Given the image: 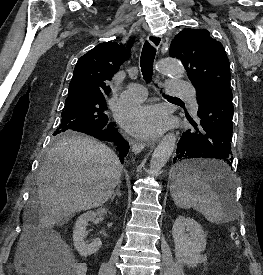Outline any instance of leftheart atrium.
<instances>
[{
    "mask_svg": "<svg viewBox=\"0 0 263 275\" xmlns=\"http://www.w3.org/2000/svg\"><path fill=\"white\" fill-rule=\"evenodd\" d=\"M124 128L139 138L159 135L167 125L165 112L155 105L137 106L127 110L121 119Z\"/></svg>",
    "mask_w": 263,
    "mask_h": 275,
    "instance_id": "left-heart-atrium-1",
    "label": "left heart atrium"
}]
</instances>
